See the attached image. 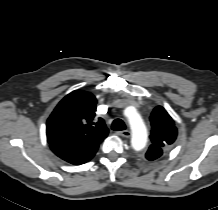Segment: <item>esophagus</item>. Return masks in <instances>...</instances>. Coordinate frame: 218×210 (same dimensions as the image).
<instances>
[{
  "mask_svg": "<svg viewBox=\"0 0 218 210\" xmlns=\"http://www.w3.org/2000/svg\"><path fill=\"white\" fill-rule=\"evenodd\" d=\"M117 135L128 138L130 137L131 132L129 130H123V131L117 132Z\"/></svg>",
  "mask_w": 218,
  "mask_h": 210,
  "instance_id": "esophagus-1",
  "label": "esophagus"
}]
</instances>
